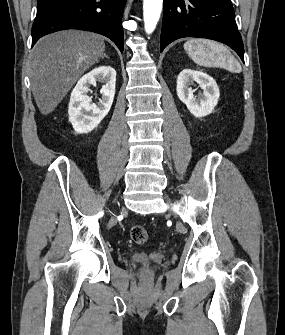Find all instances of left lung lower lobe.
Listing matches in <instances>:
<instances>
[{
	"label": "left lung lower lobe",
	"mask_w": 285,
	"mask_h": 335,
	"mask_svg": "<svg viewBox=\"0 0 285 335\" xmlns=\"http://www.w3.org/2000/svg\"><path fill=\"white\" fill-rule=\"evenodd\" d=\"M207 38L230 46L244 62L231 0H164L161 52L176 39Z\"/></svg>",
	"instance_id": "1"
}]
</instances>
